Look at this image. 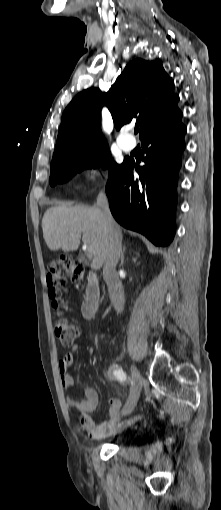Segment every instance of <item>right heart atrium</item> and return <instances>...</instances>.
Returning <instances> with one entry per match:
<instances>
[{"label": "right heart atrium", "instance_id": "right-heart-atrium-1", "mask_svg": "<svg viewBox=\"0 0 221 510\" xmlns=\"http://www.w3.org/2000/svg\"><path fill=\"white\" fill-rule=\"evenodd\" d=\"M85 174L88 179H93L96 175V171L91 164H88L85 168Z\"/></svg>", "mask_w": 221, "mask_h": 510}]
</instances>
